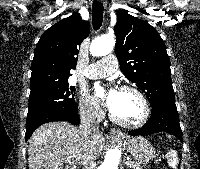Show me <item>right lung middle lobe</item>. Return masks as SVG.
<instances>
[{"instance_id":"obj_1","label":"right lung middle lobe","mask_w":200,"mask_h":169,"mask_svg":"<svg viewBox=\"0 0 200 169\" xmlns=\"http://www.w3.org/2000/svg\"><path fill=\"white\" fill-rule=\"evenodd\" d=\"M75 87L68 80L50 81L31 87L29 110L40 108H57L69 110L77 105L74 101Z\"/></svg>"}]
</instances>
